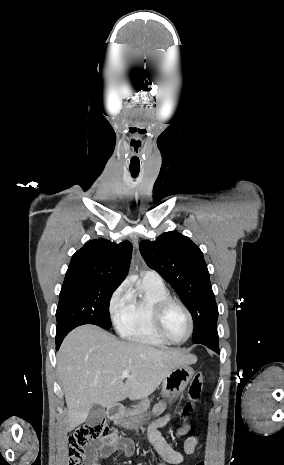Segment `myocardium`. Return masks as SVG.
<instances>
[{"label":"myocardium","mask_w":284,"mask_h":465,"mask_svg":"<svg viewBox=\"0 0 284 465\" xmlns=\"http://www.w3.org/2000/svg\"><path fill=\"white\" fill-rule=\"evenodd\" d=\"M178 306L182 308L189 320V331L187 336L181 341H173L167 337L164 331V320L168 313V311L174 307ZM153 328L157 336L164 341L166 344L169 345H182L186 343L192 336L194 331V318L190 310L181 302L175 299H165L162 300L156 307L155 314H154V321H153Z\"/></svg>","instance_id":"f54148a6"}]
</instances>
